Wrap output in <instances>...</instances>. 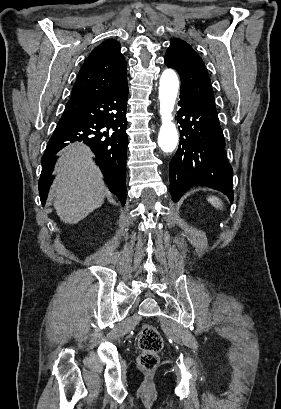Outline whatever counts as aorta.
Wrapping results in <instances>:
<instances>
[{
  "mask_svg": "<svg viewBox=\"0 0 281 409\" xmlns=\"http://www.w3.org/2000/svg\"><path fill=\"white\" fill-rule=\"evenodd\" d=\"M179 90V80L172 69L163 71L160 77L159 101L162 125L158 135V144L163 152H173L178 143V133L173 123L172 112Z\"/></svg>",
  "mask_w": 281,
  "mask_h": 409,
  "instance_id": "1",
  "label": "aorta"
}]
</instances>
